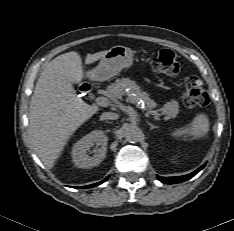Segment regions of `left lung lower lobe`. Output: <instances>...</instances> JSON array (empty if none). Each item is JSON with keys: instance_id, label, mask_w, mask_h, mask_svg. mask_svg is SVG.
<instances>
[{"instance_id": "obj_1", "label": "left lung lower lobe", "mask_w": 234, "mask_h": 231, "mask_svg": "<svg viewBox=\"0 0 234 231\" xmlns=\"http://www.w3.org/2000/svg\"><path fill=\"white\" fill-rule=\"evenodd\" d=\"M204 166H205V164L202 165L197 170H195L194 172H192V173H190L188 175H184V176H178V177H161V176H157V177L161 182L167 183V184H174V183L184 182V181L192 178L194 175H196Z\"/></svg>"}]
</instances>
